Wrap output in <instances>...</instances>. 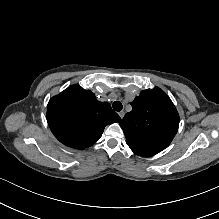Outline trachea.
I'll return each mask as SVG.
<instances>
[{"instance_id":"trachea-1","label":"trachea","mask_w":219,"mask_h":219,"mask_svg":"<svg viewBox=\"0 0 219 219\" xmlns=\"http://www.w3.org/2000/svg\"><path fill=\"white\" fill-rule=\"evenodd\" d=\"M113 109L115 110V111H121L122 109H123V105H122V103L120 102V101H115L114 103H113Z\"/></svg>"}]
</instances>
